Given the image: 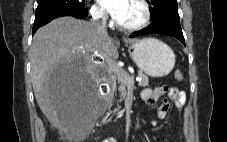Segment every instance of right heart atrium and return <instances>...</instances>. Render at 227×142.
Returning a JSON list of instances; mask_svg holds the SVG:
<instances>
[{"label":"right heart atrium","instance_id":"1","mask_svg":"<svg viewBox=\"0 0 227 142\" xmlns=\"http://www.w3.org/2000/svg\"><path fill=\"white\" fill-rule=\"evenodd\" d=\"M90 14H91V17L94 21L99 22V23H105L106 22V14L104 13V11L100 7L93 5L90 8Z\"/></svg>","mask_w":227,"mask_h":142}]
</instances>
